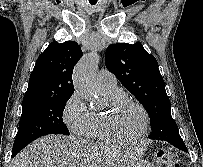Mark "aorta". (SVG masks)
I'll return each instance as SVG.
<instances>
[{"instance_id":"1","label":"aorta","mask_w":203,"mask_h":167,"mask_svg":"<svg viewBox=\"0 0 203 167\" xmlns=\"http://www.w3.org/2000/svg\"><path fill=\"white\" fill-rule=\"evenodd\" d=\"M98 61L97 53L91 52L85 55L74 69L73 83L75 90L90 102L95 101L98 93L95 82Z\"/></svg>"}]
</instances>
